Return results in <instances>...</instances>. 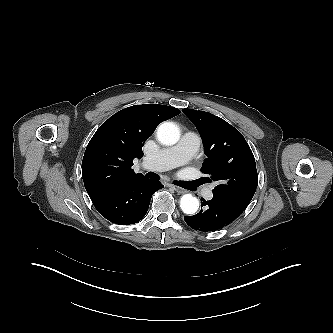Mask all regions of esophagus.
<instances>
[{
  "label": "esophagus",
  "instance_id": "esophagus-1",
  "mask_svg": "<svg viewBox=\"0 0 333 333\" xmlns=\"http://www.w3.org/2000/svg\"><path fill=\"white\" fill-rule=\"evenodd\" d=\"M168 186H169L170 188L174 189V190H175L176 192H178V193H185V192H186V190H184L183 188L178 187V186H176V185L169 184Z\"/></svg>",
  "mask_w": 333,
  "mask_h": 333
}]
</instances>
